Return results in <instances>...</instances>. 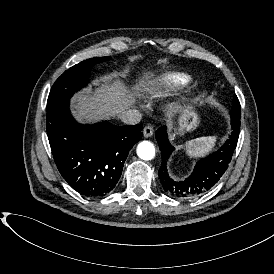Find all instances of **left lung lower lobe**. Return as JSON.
Here are the masks:
<instances>
[{
    "mask_svg": "<svg viewBox=\"0 0 274 274\" xmlns=\"http://www.w3.org/2000/svg\"><path fill=\"white\" fill-rule=\"evenodd\" d=\"M233 113L235 118L231 119L233 131L229 139L217 152L199 161L194 172L185 181L175 182L169 177L166 161L174 147L168 141L166 127L162 126L157 129L155 136L162 156L158 175L167 193L180 198L197 197L209 191L219 181L228 168L239 137L241 116L236 111Z\"/></svg>",
    "mask_w": 274,
    "mask_h": 274,
    "instance_id": "1",
    "label": "left lung lower lobe"
}]
</instances>
